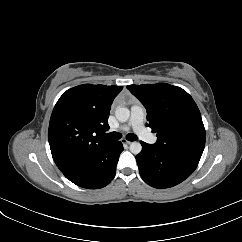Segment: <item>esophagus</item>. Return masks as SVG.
Listing matches in <instances>:
<instances>
[{"instance_id": "obj_1", "label": "esophagus", "mask_w": 242, "mask_h": 242, "mask_svg": "<svg viewBox=\"0 0 242 242\" xmlns=\"http://www.w3.org/2000/svg\"><path fill=\"white\" fill-rule=\"evenodd\" d=\"M122 143H123V144L130 145L132 142H131V141H128V140L125 139V138H123V139H122Z\"/></svg>"}]
</instances>
